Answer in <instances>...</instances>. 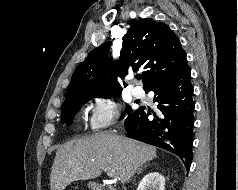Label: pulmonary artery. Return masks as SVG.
I'll use <instances>...</instances> for the list:
<instances>
[{"label": "pulmonary artery", "mask_w": 238, "mask_h": 190, "mask_svg": "<svg viewBox=\"0 0 238 190\" xmlns=\"http://www.w3.org/2000/svg\"><path fill=\"white\" fill-rule=\"evenodd\" d=\"M132 94H133V96L136 97V98H142V97L144 96V91H143V89L140 88V87H134V88L132 89Z\"/></svg>", "instance_id": "obj_1"}]
</instances>
